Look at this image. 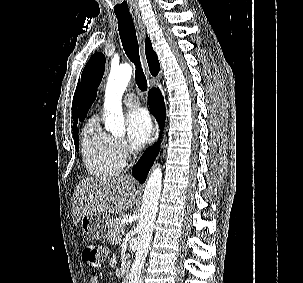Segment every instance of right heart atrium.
Segmentation results:
<instances>
[{
    "label": "right heart atrium",
    "mask_w": 303,
    "mask_h": 283,
    "mask_svg": "<svg viewBox=\"0 0 303 283\" xmlns=\"http://www.w3.org/2000/svg\"><path fill=\"white\" fill-rule=\"evenodd\" d=\"M114 141L116 149L120 156L123 158L124 161L127 160L130 157L131 150L126 141L123 138H115Z\"/></svg>",
    "instance_id": "right-heart-atrium-1"
}]
</instances>
